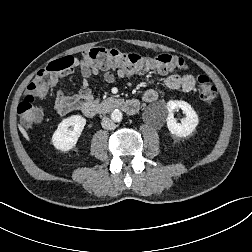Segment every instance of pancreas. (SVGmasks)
<instances>
[{"instance_id":"pancreas-1","label":"pancreas","mask_w":252,"mask_h":252,"mask_svg":"<svg viewBox=\"0 0 252 252\" xmlns=\"http://www.w3.org/2000/svg\"><path fill=\"white\" fill-rule=\"evenodd\" d=\"M114 101V98L110 97L108 99H105L101 102V105L104 106L106 105L107 103H110V102H113Z\"/></svg>"}]
</instances>
